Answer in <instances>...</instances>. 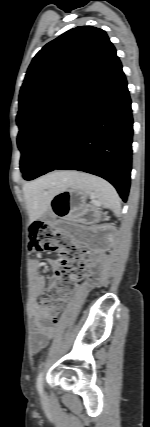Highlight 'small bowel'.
<instances>
[{
	"label": "small bowel",
	"mask_w": 150,
	"mask_h": 427,
	"mask_svg": "<svg viewBox=\"0 0 150 427\" xmlns=\"http://www.w3.org/2000/svg\"><path fill=\"white\" fill-rule=\"evenodd\" d=\"M48 264L52 268L59 266V261L49 259ZM31 267L34 275L35 290L38 294L42 293L46 286V281L43 276L39 274L41 263L38 259H34L31 262ZM49 313L43 308H37L34 313V328L31 337V349L33 352H39L49 342V340L55 335L56 329L48 323Z\"/></svg>",
	"instance_id": "1"
}]
</instances>
